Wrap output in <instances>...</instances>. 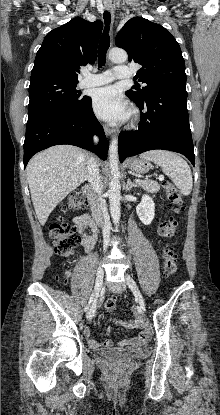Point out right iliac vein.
Here are the masks:
<instances>
[{
  "mask_svg": "<svg viewBox=\"0 0 220 415\" xmlns=\"http://www.w3.org/2000/svg\"><path fill=\"white\" fill-rule=\"evenodd\" d=\"M103 278H104V270L102 267H98L97 272H96V280H95V287H94V291H95V295L97 296L101 290L102 287V283H103ZM95 314V304H93L91 306V308L88 310L87 312V319L91 320L93 318Z\"/></svg>",
  "mask_w": 220,
  "mask_h": 415,
  "instance_id": "1",
  "label": "right iliac vein"
}]
</instances>
